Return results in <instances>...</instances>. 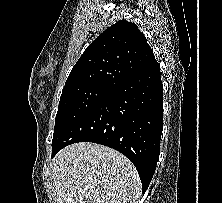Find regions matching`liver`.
I'll list each match as a JSON object with an SVG mask.
<instances>
[{"mask_svg":"<svg viewBox=\"0 0 222 203\" xmlns=\"http://www.w3.org/2000/svg\"><path fill=\"white\" fill-rule=\"evenodd\" d=\"M55 203H138L141 181L128 158L106 146L81 142L52 161Z\"/></svg>","mask_w":222,"mask_h":203,"instance_id":"1","label":"liver"}]
</instances>
